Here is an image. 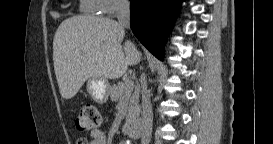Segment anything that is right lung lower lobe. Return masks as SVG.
<instances>
[{"mask_svg":"<svg viewBox=\"0 0 273 144\" xmlns=\"http://www.w3.org/2000/svg\"><path fill=\"white\" fill-rule=\"evenodd\" d=\"M183 0H130L131 29L157 58H164V44Z\"/></svg>","mask_w":273,"mask_h":144,"instance_id":"98d812e1","label":"right lung lower lobe"}]
</instances>
